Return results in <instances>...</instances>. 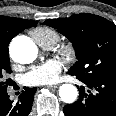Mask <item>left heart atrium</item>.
Instances as JSON below:
<instances>
[{"instance_id":"left-heart-atrium-1","label":"left heart atrium","mask_w":116,"mask_h":116,"mask_svg":"<svg viewBox=\"0 0 116 116\" xmlns=\"http://www.w3.org/2000/svg\"><path fill=\"white\" fill-rule=\"evenodd\" d=\"M61 69L62 62L59 59H48L31 67L24 75V82L32 86L55 83L58 80Z\"/></svg>"}]
</instances>
